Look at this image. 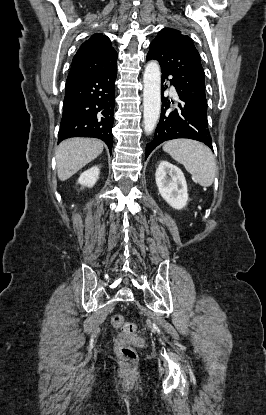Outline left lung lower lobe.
Wrapping results in <instances>:
<instances>
[{"label":"left lung lower lobe","instance_id":"1","mask_svg":"<svg viewBox=\"0 0 266 415\" xmlns=\"http://www.w3.org/2000/svg\"><path fill=\"white\" fill-rule=\"evenodd\" d=\"M147 60L152 59L149 55ZM168 79V75L162 72V84ZM170 84L176 88L180 102L177 108H170V101L163 97L161 117L155 131L153 140L146 145L145 160L149 154L162 142L176 139L189 138L205 143L213 150L212 140L208 129L207 114L199 109L171 79ZM167 88V85H165ZM162 89V93L164 91ZM173 103V101H172Z\"/></svg>","mask_w":266,"mask_h":415}]
</instances>
